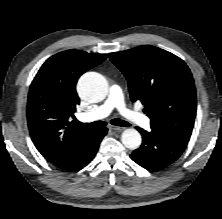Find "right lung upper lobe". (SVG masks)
Segmentation results:
<instances>
[{
	"label": "right lung upper lobe",
	"instance_id": "obj_1",
	"mask_svg": "<svg viewBox=\"0 0 222 219\" xmlns=\"http://www.w3.org/2000/svg\"><path fill=\"white\" fill-rule=\"evenodd\" d=\"M105 59L104 54L63 51L46 60L32 81L27 103L30 135L38 151L61 169L72 162L94 131L68 121L80 103L77 80Z\"/></svg>",
	"mask_w": 222,
	"mask_h": 219
}]
</instances>
